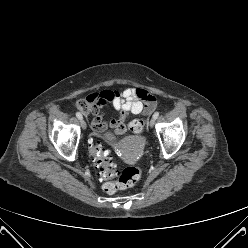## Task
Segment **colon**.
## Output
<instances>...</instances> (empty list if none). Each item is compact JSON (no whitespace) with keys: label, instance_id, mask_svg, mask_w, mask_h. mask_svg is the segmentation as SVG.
Segmentation results:
<instances>
[{"label":"colon","instance_id":"1","mask_svg":"<svg viewBox=\"0 0 248 248\" xmlns=\"http://www.w3.org/2000/svg\"><path fill=\"white\" fill-rule=\"evenodd\" d=\"M77 107L81 112L87 114L91 110L92 104L88 103L87 100L82 99L78 101ZM143 126V119L134 120L130 124V130L134 133H139L142 131ZM90 152L96 165L100 169V176L102 178L111 179L118 176V181L104 183L103 190L106 193L112 194L119 189L131 187L139 180L141 169L137 164H130L118 173L112 158L99 142H93L90 145Z\"/></svg>","mask_w":248,"mask_h":248}]
</instances>
